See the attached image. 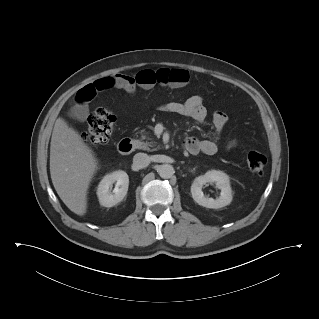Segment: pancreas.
Instances as JSON below:
<instances>
[{"instance_id":"cf45deb5","label":"pancreas","mask_w":319,"mask_h":319,"mask_svg":"<svg viewBox=\"0 0 319 319\" xmlns=\"http://www.w3.org/2000/svg\"><path fill=\"white\" fill-rule=\"evenodd\" d=\"M156 145L157 143L155 141H152L151 138L147 137L146 135H142L141 140L136 141V148L144 151H156L158 149V147L155 148Z\"/></svg>"}]
</instances>
